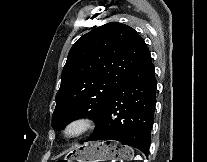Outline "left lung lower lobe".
<instances>
[{"label":"left lung lower lobe","mask_w":207,"mask_h":162,"mask_svg":"<svg viewBox=\"0 0 207 162\" xmlns=\"http://www.w3.org/2000/svg\"><path fill=\"white\" fill-rule=\"evenodd\" d=\"M155 68L148 52L110 97L86 141L115 140L148 155L156 105Z\"/></svg>","instance_id":"left-lung-lower-lobe-1"}]
</instances>
